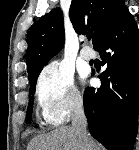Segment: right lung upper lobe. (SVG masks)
<instances>
[{"instance_id":"cb5924a9","label":"right lung upper lobe","mask_w":139,"mask_h":150,"mask_svg":"<svg viewBox=\"0 0 139 150\" xmlns=\"http://www.w3.org/2000/svg\"><path fill=\"white\" fill-rule=\"evenodd\" d=\"M127 10L124 0H72L69 16L77 33L93 31L95 48ZM64 42L63 14L55 8L41 17L29 32L26 55L29 81L62 49Z\"/></svg>"}]
</instances>
